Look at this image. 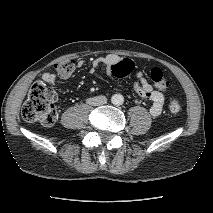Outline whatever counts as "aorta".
<instances>
[{"label":"aorta","mask_w":213,"mask_h":213,"mask_svg":"<svg viewBox=\"0 0 213 213\" xmlns=\"http://www.w3.org/2000/svg\"><path fill=\"white\" fill-rule=\"evenodd\" d=\"M111 102H112V104H114L116 106H120L124 103V97L121 94H114L111 97Z\"/></svg>","instance_id":"1"}]
</instances>
